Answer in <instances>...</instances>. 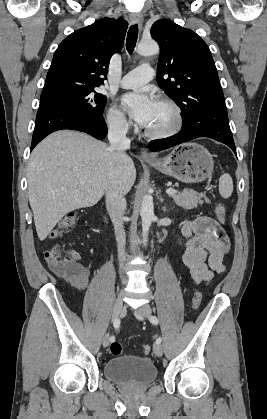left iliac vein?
<instances>
[{"instance_id": "obj_1", "label": "left iliac vein", "mask_w": 267, "mask_h": 419, "mask_svg": "<svg viewBox=\"0 0 267 419\" xmlns=\"http://www.w3.org/2000/svg\"><path fill=\"white\" fill-rule=\"evenodd\" d=\"M133 313H134V315L136 316L137 319L143 320V318L145 316H149L151 314V309H150L149 305H144L143 307L134 310ZM153 351H154L155 355H157L159 357L162 356V354H163L162 345L160 343H155L153 345Z\"/></svg>"}]
</instances>
